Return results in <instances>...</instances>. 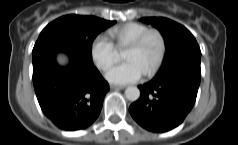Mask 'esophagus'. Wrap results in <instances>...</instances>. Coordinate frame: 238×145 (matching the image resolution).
Here are the masks:
<instances>
[{"label":"esophagus","instance_id":"34e87169","mask_svg":"<svg viewBox=\"0 0 238 145\" xmlns=\"http://www.w3.org/2000/svg\"><path fill=\"white\" fill-rule=\"evenodd\" d=\"M110 88H111V89H125V86H120V85L111 84V85H110Z\"/></svg>","mask_w":238,"mask_h":145}]
</instances>
